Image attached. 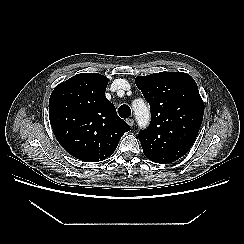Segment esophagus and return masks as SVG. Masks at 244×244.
Instances as JSON below:
<instances>
[{"instance_id": "esophagus-1", "label": "esophagus", "mask_w": 244, "mask_h": 244, "mask_svg": "<svg viewBox=\"0 0 244 244\" xmlns=\"http://www.w3.org/2000/svg\"><path fill=\"white\" fill-rule=\"evenodd\" d=\"M126 122L128 123V125H129L130 127H133V125H134V120H133L132 118L127 119Z\"/></svg>"}]
</instances>
